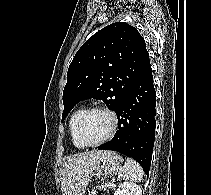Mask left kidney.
<instances>
[{
    "instance_id": "1",
    "label": "left kidney",
    "mask_w": 211,
    "mask_h": 195,
    "mask_svg": "<svg viewBox=\"0 0 211 195\" xmlns=\"http://www.w3.org/2000/svg\"><path fill=\"white\" fill-rule=\"evenodd\" d=\"M114 195H142L140 186L131 182H123Z\"/></svg>"
}]
</instances>
